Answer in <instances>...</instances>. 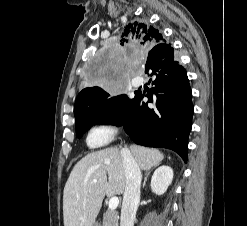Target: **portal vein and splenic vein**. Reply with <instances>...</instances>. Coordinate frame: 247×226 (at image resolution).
Listing matches in <instances>:
<instances>
[{"label": "portal vein and splenic vein", "mask_w": 247, "mask_h": 226, "mask_svg": "<svg viewBox=\"0 0 247 226\" xmlns=\"http://www.w3.org/2000/svg\"><path fill=\"white\" fill-rule=\"evenodd\" d=\"M94 183L97 182V180H93ZM118 204H119V199L118 197H112L110 200H109V209L110 210H115L117 207H118Z\"/></svg>", "instance_id": "portal-vein-and-splenic-vein-1"}]
</instances>
